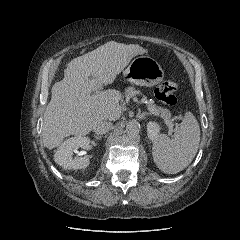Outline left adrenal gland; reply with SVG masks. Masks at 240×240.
Listing matches in <instances>:
<instances>
[{
	"instance_id": "left-adrenal-gland-1",
	"label": "left adrenal gland",
	"mask_w": 240,
	"mask_h": 240,
	"mask_svg": "<svg viewBox=\"0 0 240 240\" xmlns=\"http://www.w3.org/2000/svg\"><path fill=\"white\" fill-rule=\"evenodd\" d=\"M150 114H151V113H148V112L139 113V118H140V119H144L145 116L150 115Z\"/></svg>"
}]
</instances>
